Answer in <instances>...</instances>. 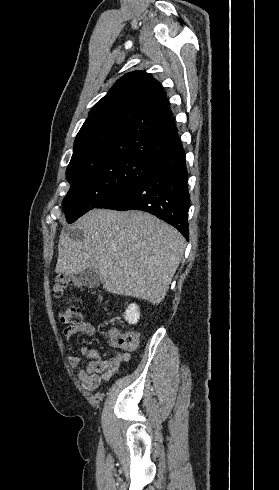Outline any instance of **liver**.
<instances>
[{
  "label": "liver",
  "mask_w": 279,
  "mask_h": 490,
  "mask_svg": "<svg viewBox=\"0 0 279 490\" xmlns=\"http://www.w3.org/2000/svg\"><path fill=\"white\" fill-rule=\"evenodd\" d=\"M74 226L83 242L62 232L56 274L96 268L106 292L160 304L183 258L185 240L175 228L148 212L90 210Z\"/></svg>",
  "instance_id": "liver-1"
}]
</instances>
